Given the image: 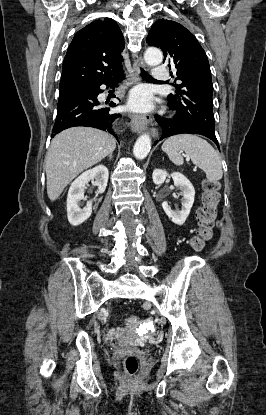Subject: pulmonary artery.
<instances>
[{"label":"pulmonary artery","instance_id":"e3ab8cb5","mask_svg":"<svg viewBox=\"0 0 266 415\" xmlns=\"http://www.w3.org/2000/svg\"><path fill=\"white\" fill-rule=\"evenodd\" d=\"M152 76L155 80H167L168 72L164 66H156L153 68Z\"/></svg>","mask_w":266,"mask_h":415}]
</instances>
